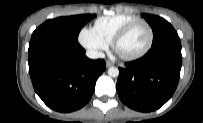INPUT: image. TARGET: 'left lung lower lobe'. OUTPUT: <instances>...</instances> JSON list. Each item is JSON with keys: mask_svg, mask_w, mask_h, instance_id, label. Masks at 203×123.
I'll use <instances>...</instances> for the list:
<instances>
[{"mask_svg": "<svg viewBox=\"0 0 203 123\" xmlns=\"http://www.w3.org/2000/svg\"><path fill=\"white\" fill-rule=\"evenodd\" d=\"M181 66L179 37L152 46L142 58L119 68L117 92L121 101L137 111L159 109L175 92Z\"/></svg>", "mask_w": 203, "mask_h": 123, "instance_id": "1", "label": "left lung lower lobe"}]
</instances>
